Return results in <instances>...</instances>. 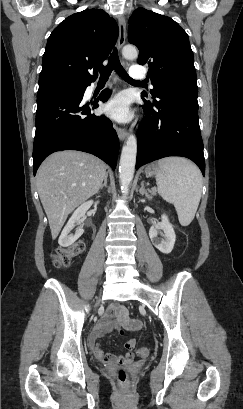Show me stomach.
I'll use <instances>...</instances> for the list:
<instances>
[{
  "mask_svg": "<svg viewBox=\"0 0 243 409\" xmlns=\"http://www.w3.org/2000/svg\"><path fill=\"white\" fill-rule=\"evenodd\" d=\"M158 166L157 164H150L149 166H147V168L145 169V174L147 177H152V176H156L158 173Z\"/></svg>",
  "mask_w": 243,
  "mask_h": 409,
  "instance_id": "0dacf381",
  "label": "stomach"
}]
</instances>
